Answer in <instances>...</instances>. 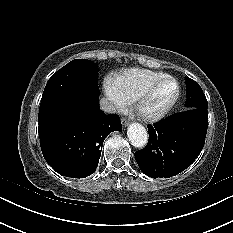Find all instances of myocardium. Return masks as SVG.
I'll return each instance as SVG.
<instances>
[{
	"mask_svg": "<svg viewBox=\"0 0 233 233\" xmlns=\"http://www.w3.org/2000/svg\"><path fill=\"white\" fill-rule=\"evenodd\" d=\"M170 81L175 85V94L172 99L159 111L155 113H146L143 110L144 104L150 98L155 89L162 83ZM180 97V85L178 81L171 76H164L150 84L135 100L134 111L136 115L144 122L155 123L162 120L174 108Z\"/></svg>",
	"mask_w": 233,
	"mask_h": 233,
	"instance_id": "f54148a6",
	"label": "myocardium"
}]
</instances>
